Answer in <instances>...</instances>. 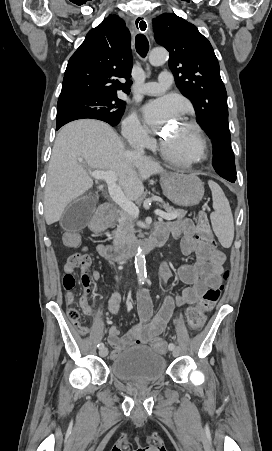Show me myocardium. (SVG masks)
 <instances>
[{
    "instance_id": "myocardium-1",
    "label": "myocardium",
    "mask_w": 272,
    "mask_h": 451,
    "mask_svg": "<svg viewBox=\"0 0 272 451\" xmlns=\"http://www.w3.org/2000/svg\"><path fill=\"white\" fill-rule=\"evenodd\" d=\"M192 133L194 148L190 154H183L179 149L169 150L166 142H163L162 148L165 154L169 155L175 162H186L189 164H199L207 159V148L199 127L191 121L182 122Z\"/></svg>"
}]
</instances>
